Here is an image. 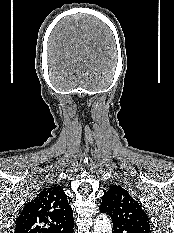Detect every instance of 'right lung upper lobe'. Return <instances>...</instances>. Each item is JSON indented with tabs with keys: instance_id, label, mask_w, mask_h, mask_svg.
Returning a JSON list of instances; mask_svg holds the SVG:
<instances>
[{
	"instance_id": "1",
	"label": "right lung upper lobe",
	"mask_w": 174,
	"mask_h": 233,
	"mask_svg": "<svg viewBox=\"0 0 174 233\" xmlns=\"http://www.w3.org/2000/svg\"><path fill=\"white\" fill-rule=\"evenodd\" d=\"M73 225L67 195L59 186L51 185L24 206L14 233H64Z\"/></svg>"
}]
</instances>
